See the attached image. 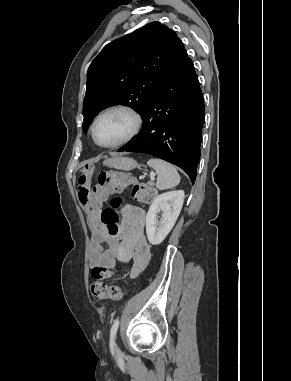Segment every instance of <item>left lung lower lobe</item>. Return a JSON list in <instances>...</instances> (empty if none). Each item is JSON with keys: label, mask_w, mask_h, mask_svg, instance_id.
Here are the masks:
<instances>
[{"label": "left lung lower lobe", "mask_w": 291, "mask_h": 381, "mask_svg": "<svg viewBox=\"0 0 291 381\" xmlns=\"http://www.w3.org/2000/svg\"><path fill=\"white\" fill-rule=\"evenodd\" d=\"M143 128L118 151L151 154L183 169L195 182L200 159L204 100L192 60L186 55L149 98Z\"/></svg>", "instance_id": "left-lung-lower-lobe-1"}]
</instances>
